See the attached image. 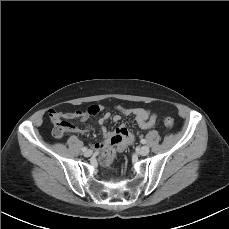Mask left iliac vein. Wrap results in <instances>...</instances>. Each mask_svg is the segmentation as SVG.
<instances>
[{"mask_svg":"<svg viewBox=\"0 0 229 229\" xmlns=\"http://www.w3.org/2000/svg\"><path fill=\"white\" fill-rule=\"evenodd\" d=\"M149 152H150V149H149L148 146H142V147L139 149V154L142 155V156L147 155Z\"/></svg>","mask_w":229,"mask_h":229,"instance_id":"1","label":"left iliac vein"}]
</instances>
